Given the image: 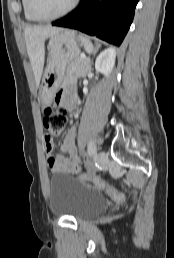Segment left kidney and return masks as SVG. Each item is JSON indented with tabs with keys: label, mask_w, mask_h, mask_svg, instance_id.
<instances>
[{
	"label": "left kidney",
	"mask_w": 174,
	"mask_h": 258,
	"mask_svg": "<svg viewBox=\"0 0 174 258\" xmlns=\"http://www.w3.org/2000/svg\"><path fill=\"white\" fill-rule=\"evenodd\" d=\"M116 58V50L113 47L107 48L102 51L96 61H95V69L98 72L103 73L106 77H108L114 67Z\"/></svg>",
	"instance_id": "obj_1"
}]
</instances>
